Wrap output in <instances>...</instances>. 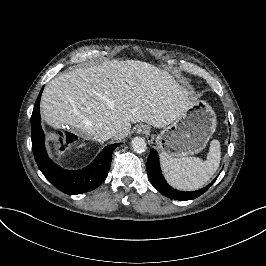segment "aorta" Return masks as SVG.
I'll use <instances>...</instances> for the list:
<instances>
[{"instance_id": "obj_1", "label": "aorta", "mask_w": 266, "mask_h": 266, "mask_svg": "<svg viewBox=\"0 0 266 266\" xmlns=\"http://www.w3.org/2000/svg\"><path fill=\"white\" fill-rule=\"evenodd\" d=\"M132 149L137 153H142L147 148V143L145 138L142 137H134L131 141Z\"/></svg>"}]
</instances>
